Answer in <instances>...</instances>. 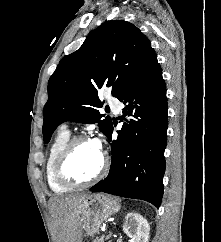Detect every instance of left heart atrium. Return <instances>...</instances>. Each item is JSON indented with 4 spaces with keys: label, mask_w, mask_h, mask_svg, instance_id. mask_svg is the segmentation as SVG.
Segmentation results:
<instances>
[{
    "label": "left heart atrium",
    "mask_w": 221,
    "mask_h": 242,
    "mask_svg": "<svg viewBox=\"0 0 221 242\" xmlns=\"http://www.w3.org/2000/svg\"><path fill=\"white\" fill-rule=\"evenodd\" d=\"M91 141L96 145L97 148H99L100 150L102 149V144L99 138H94Z\"/></svg>",
    "instance_id": "obj_1"
}]
</instances>
